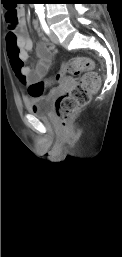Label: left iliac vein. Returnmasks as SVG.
Returning <instances> with one entry per match:
<instances>
[{"instance_id":"4c4485c4","label":"left iliac vein","mask_w":122,"mask_h":257,"mask_svg":"<svg viewBox=\"0 0 122 257\" xmlns=\"http://www.w3.org/2000/svg\"><path fill=\"white\" fill-rule=\"evenodd\" d=\"M49 37H50V40H51L53 43H55V44H58V43H59V39H58L57 35H56L53 31H50Z\"/></svg>"}]
</instances>
